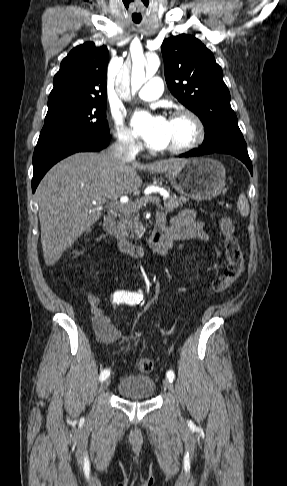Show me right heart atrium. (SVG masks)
Wrapping results in <instances>:
<instances>
[{
	"label": "right heart atrium",
	"mask_w": 287,
	"mask_h": 486,
	"mask_svg": "<svg viewBox=\"0 0 287 486\" xmlns=\"http://www.w3.org/2000/svg\"><path fill=\"white\" fill-rule=\"evenodd\" d=\"M111 124L114 137L121 147L130 151H134L139 148V143L135 140L131 131L119 118L113 117L111 120Z\"/></svg>",
	"instance_id": "1"
}]
</instances>
